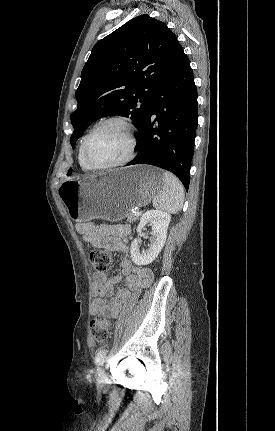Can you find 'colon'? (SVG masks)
I'll use <instances>...</instances> for the list:
<instances>
[{
  "label": "colon",
  "instance_id": "1",
  "mask_svg": "<svg viewBox=\"0 0 275 431\" xmlns=\"http://www.w3.org/2000/svg\"><path fill=\"white\" fill-rule=\"evenodd\" d=\"M90 263L98 272L107 269L112 261V255L105 249H92L89 253ZM91 337L99 343L107 340L109 335V325L101 315H96L90 321Z\"/></svg>",
  "mask_w": 275,
  "mask_h": 431
}]
</instances>
